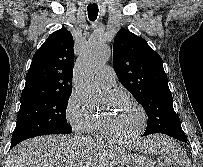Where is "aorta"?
Masks as SVG:
<instances>
[{
  "label": "aorta",
  "mask_w": 203,
  "mask_h": 167,
  "mask_svg": "<svg viewBox=\"0 0 203 167\" xmlns=\"http://www.w3.org/2000/svg\"><path fill=\"white\" fill-rule=\"evenodd\" d=\"M111 56L107 44L90 42L77 59L74 70V88L88 106L101 100V91L95 86L93 76L97 69L104 66Z\"/></svg>",
  "instance_id": "aorta-1"
}]
</instances>
